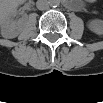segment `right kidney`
Returning <instances> with one entry per match:
<instances>
[{
    "label": "right kidney",
    "mask_w": 103,
    "mask_h": 103,
    "mask_svg": "<svg viewBox=\"0 0 103 103\" xmlns=\"http://www.w3.org/2000/svg\"><path fill=\"white\" fill-rule=\"evenodd\" d=\"M17 1H5L0 9V33L4 38H15L20 31L22 19L14 20L17 14Z\"/></svg>",
    "instance_id": "1"
}]
</instances>
